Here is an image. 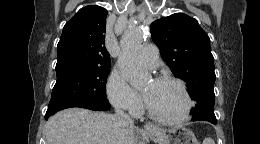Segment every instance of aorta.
Returning a JSON list of instances; mask_svg holds the SVG:
<instances>
[{
  "label": "aorta",
  "instance_id": "762f6f07",
  "mask_svg": "<svg viewBox=\"0 0 260 144\" xmlns=\"http://www.w3.org/2000/svg\"><path fill=\"white\" fill-rule=\"evenodd\" d=\"M144 41V31L136 26L125 31L120 41L122 52L118 58V65L123 76L133 86L143 85L150 77L137 63V54Z\"/></svg>",
  "mask_w": 260,
  "mask_h": 144
}]
</instances>
